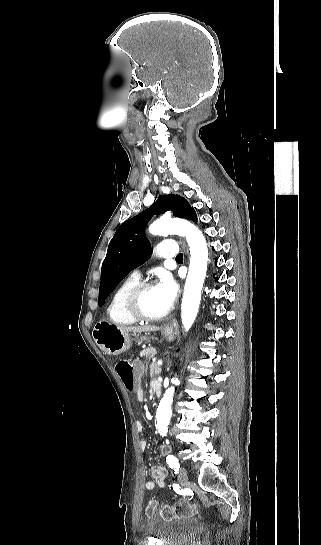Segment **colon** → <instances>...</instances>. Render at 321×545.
Returning a JSON list of instances; mask_svg holds the SVG:
<instances>
[{"instance_id":"obj_1","label":"colon","mask_w":321,"mask_h":545,"mask_svg":"<svg viewBox=\"0 0 321 545\" xmlns=\"http://www.w3.org/2000/svg\"><path fill=\"white\" fill-rule=\"evenodd\" d=\"M115 369L126 389L129 391H134L137 388V379L132 363L127 360H119L116 363ZM155 505V502H151L147 508V513H149ZM195 511L196 508L194 505L182 501L172 506L163 507L161 515L166 518L185 517L194 513Z\"/></svg>"}]
</instances>
